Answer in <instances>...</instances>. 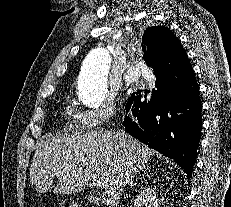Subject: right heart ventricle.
<instances>
[{"label": "right heart ventricle", "instance_id": "1", "mask_svg": "<svg viewBox=\"0 0 231 207\" xmlns=\"http://www.w3.org/2000/svg\"><path fill=\"white\" fill-rule=\"evenodd\" d=\"M64 115H65L66 119H68L70 121V126L78 127L77 122H76V114H74L71 106L66 107V109L64 111Z\"/></svg>", "mask_w": 231, "mask_h": 207}]
</instances>
